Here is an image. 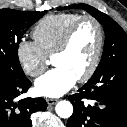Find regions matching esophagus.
I'll return each mask as SVG.
<instances>
[{"instance_id":"34e87169","label":"esophagus","mask_w":127,"mask_h":127,"mask_svg":"<svg viewBox=\"0 0 127 127\" xmlns=\"http://www.w3.org/2000/svg\"><path fill=\"white\" fill-rule=\"evenodd\" d=\"M46 102L48 105H54L55 103H57V99L47 98Z\"/></svg>"}]
</instances>
